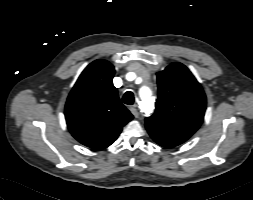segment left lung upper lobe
I'll list each match as a JSON object with an SVG mask.
<instances>
[{"label": "left lung upper lobe", "instance_id": "obj_1", "mask_svg": "<svg viewBox=\"0 0 253 200\" xmlns=\"http://www.w3.org/2000/svg\"><path fill=\"white\" fill-rule=\"evenodd\" d=\"M158 100L146 125L193 135L206 109V96L192 73L181 63H172L157 73Z\"/></svg>", "mask_w": 253, "mask_h": 200}]
</instances>
